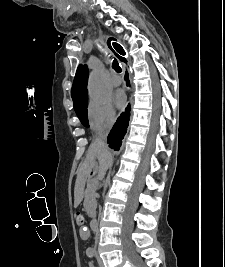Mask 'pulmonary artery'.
I'll list each match as a JSON object with an SVG mask.
<instances>
[{
	"instance_id": "pulmonary-artery-1",
	"label": "pulmonary artery",
	"mask_w": 225,
	"mask_h": 267,
	"mask_svg": "<svg viewBox=\"0 0 225 267\" xmlns=\"http://www.w3.org/2000/svg\"><path fill=\"white\" fill-rule=\"evenodd\" d=\"M111 82L114 86H119L122 83V78L118 74L114 73L111 77Z\"/></svg>"
}]
</instances>
